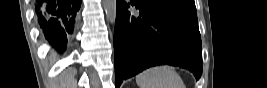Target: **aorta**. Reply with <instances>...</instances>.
<instances>
[{"label": "aorta", "mask_w": 267, "mask_h": 88, "mask_svg": "<svg viewBox=\"0 0 267 88\" xmlns=\"http://www.w3.org/2000/svg\"><path fill=\"white\" fill-rule=\"evenodd\" d=\"M106 17L111 23L116 21V0H103Z\"/></svg>", "instance_id": "obj_1"}]
</instances>
